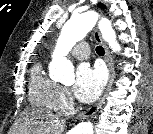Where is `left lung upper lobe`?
I'll return each instance as SVG.
<instances>
[{"label":"left lung upper lobe","instance_id":"5c2ea615","mask_svg":"<svg viewBox=\"0 0 153 134\" xmlns=\"http://www.w3.org/2000/svg\"><path fill=\"white\" fill-rule=\"evenodd\" d=\"M98 6H99L100 8H104V5L101 4V3H100Z\"/></svg>","mask_w":153,"mask_h":134}]
</instances>
